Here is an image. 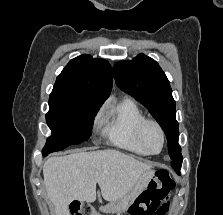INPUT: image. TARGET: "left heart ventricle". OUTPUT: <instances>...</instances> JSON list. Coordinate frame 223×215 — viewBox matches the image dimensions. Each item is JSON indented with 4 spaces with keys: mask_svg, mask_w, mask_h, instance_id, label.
<instances>
[{
    "mask_svg": "<svg viewBox=\"0 0 223 215\" xmlns=\"http://www.w3.org/2000/svg\"><path fill=\"white\" fill-rule=\"evenodd\" d=\"M143 144L149 151H158L161 146V137L153 125H148L144 130Z\"/></svg>",
    "mask_w": 223,
    "mask_h": 215,
    "instance_id": "obj_1",
    "label": "left heart ventricle"
}]
</instances>
